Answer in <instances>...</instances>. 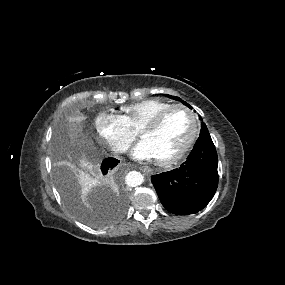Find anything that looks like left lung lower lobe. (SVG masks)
<instances>
[{
    "label": "left lung lower lobe",
    "mask_w": 285,
    "mask_h": 285,
    "mask_svg": "<svg viewBox=\"0 0 285 285\" xmlns=\"http://www.w3.org/2000/svg\"><path fill=\"white\" fill-rule=\"evenodd\" d=\"M217 166V152L210 134H203L179 168L152 176L162 205L178 215L202 210L216 192Z\"/></svg>",
    "instance_id": "obj_1"
}]
</instances>
